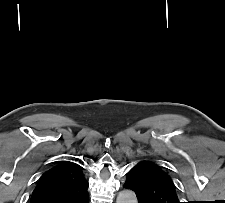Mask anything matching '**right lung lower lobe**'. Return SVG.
I'll list each match as a JSON object with an SVG mask.
<instances>
[{
	"label": "right lung lower lobe",
	"mask_w": 225,
	"mask_h": 203,
	"mask_svg": "<svg viewBox=\"0 0 225 203\" xmlns=\"http://www.w3.org/2000/svg\"><path fill=\"white\" fill-rule=\"evenodd\" d=\"M78 203H89V197L86 195L84 198L78 201Z\"/></svg>",
	"instance_id": "obj_1"
}]
</instances>
